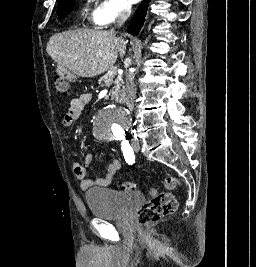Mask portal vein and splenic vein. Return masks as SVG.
<instances>
[{"label": "portal vein and splenic vein", "mask_w": 256, "mask_h": 267, "mask_svg": "<svg viewBox=\"0 0 256 267\" xmlns=\"http://www.w3.org/2000/svg\"><path fill=\"white\" fill-rule=\"evenodd\" d=\"M108 74H110V76H112V74H116V68L112 67L111 69H109Z\"/></svg>", "instance_id": "obj_1"}]
</instances>
